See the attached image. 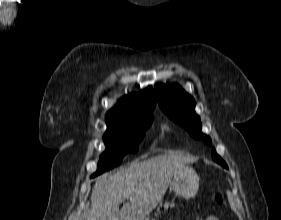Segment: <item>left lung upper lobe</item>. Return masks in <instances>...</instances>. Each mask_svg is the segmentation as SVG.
I'll list each match as a JSON object with an SVG mask.
<instances>
[{"mask_svg":"<svg viewBox=\"0 0 281 220\" xmlns=\"http://www.w3.org/2000/svg\"><path fill=\"white\" fill-rule=\"evenodd\" d=\"M155 92L162 111L174 122L183 126L195 139H201L211 145V139L201 132V122L195 113V100L182 90L178 84L156 85ZM212 158L221 166L228 168L224 160L212 150Z\"/></svg>","mask_w":281,"mask_h":220,"instance_id":"obj_1","label":"left lung upper lobe"}]
</instances>
